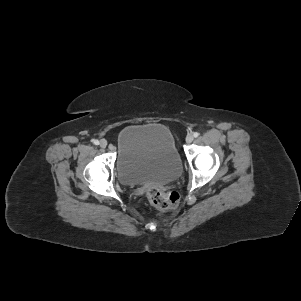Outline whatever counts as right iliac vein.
I'll return each instance as SVG.
<instances>
[{
  "mask_svg": "<svg viewBox=\"0 0 301 301\" xmlns=\"http://www.w3.org/2000/svg\"><path fill=\"white\" fill-rule=\"evenodd\" d=\"M99 144H100L101 148H106L107 147V141L105 139H101Z\"/></svg>",
  "mask_w": 301,
  "mask_h": 301,
  "instance_id": "1",
  "label": "right iliac vein"
}]
</instances>
